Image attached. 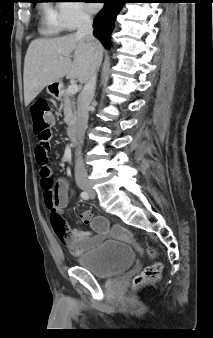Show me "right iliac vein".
<instances>
[{
  "label": "right iliac vein",
  "mask_w": 213,
  "mask_h": 338,
  "mask_svg": "<svg viewBox=\"0 0 213 338\" xmlns=\"http://www.w3.org/2000/svg\"><path fill=\"white\" fill-rule=\"evenodd\" d=\"M81 189H83L84 191H91V186L88 184H81L80 185Z\"/></svg>",
  "instance_id": "right-iliac-vein-1"
}]
</instances>
